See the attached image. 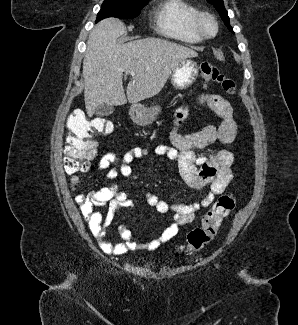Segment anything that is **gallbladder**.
I'll use <instances>...</instances> for the list:
<instances>
[{
  "label": "gallbladder",
  "instance_id": "bac80fb5",
  "mask_svg": "<svg viewBox=\"0 0 298 325\" xmlns=\"http://www.w3.org/2000/svg\"><path fill=\"white\" fill-rule=\"evenodd\" d=\"M115 108L112 106V104H99L97 106L95 112L97 116H108V114H112L114 112Z\"/></svg>",
  "mask_w": 298,
  "mask_h": 325
}]
</instances>
